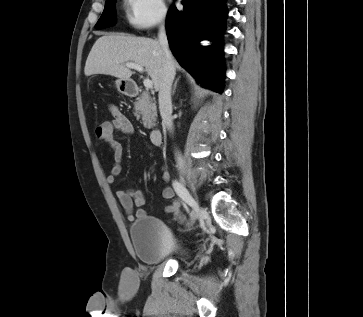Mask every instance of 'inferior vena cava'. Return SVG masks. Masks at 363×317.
<instances>
[{"label":"inferior vena cava","instance_id":"obj_1","mask_svg":"<svg viewBox=\"0 0 363 317\" xmlns=\"http://www.w3.org/2000/svg\"><path fill=\"white\" fill-rule=\"evenodd\" d=\"M158 41L163 52V69L159 83V110L162 117L163 125L170 131L173 130L172 120V101H171V87L175 77V67L173 58L168 47V40L165 28L162 25L158 34ZM177 166L179 169H184V161L182 156L178 153L176 155Z\"/></svg>","mask_w":363,"mask_h":317}]
</instances>
